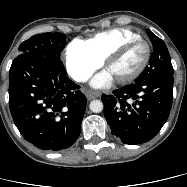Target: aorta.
I'll list each match as a JSON object with an SVG mask.
<instances>
[{
    "instance_id": "obj_1",
    "label": "aorta",
    "mask_w": 187,
    "mask_h": 187,
    "mask_svg": "<svg viewBox=\"0 0 187 187\" xmlns=\"http://www.w3.org/2000/svg\"><path fill=\"white\" fill-rule=\"evenodd\" d=\"M89 108L93 113H100L103 110V103L100 100H93L90 102Z\"/></svg>"
}]
</instances>
